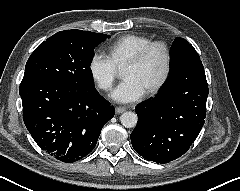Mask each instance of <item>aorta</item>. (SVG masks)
<instances>
[{
    "label": "aorta",
    "instance_id": "aorta-1",
    "mask_svg": "<svg viewBox=\"0 0 240 191\" xmlns=\"http://www.w3.org/2000/svg\"><path fill=\"white\" fill-rule=\"evenodd\" d=\"M120 121L125 128H133L137 125L138 117L134 112H124L120 116Z\"/></svg>",
    "mask_w": 240,
    "mask_h": 191
}]
</instances>
